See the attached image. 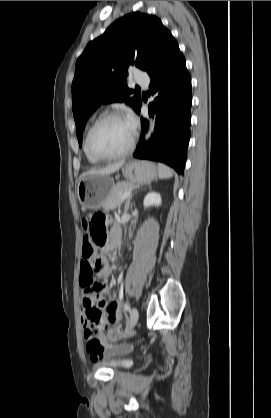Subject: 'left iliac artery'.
<instances>
[{
    "mask_svg": "<svg viewBox=\"0 0 271 418\" xmlns=\"http://www.w3.org/2000/svg\"><path fill=\"white\" fill-rule=\"evenodd\" d=\"M124 309L126 310V311H130V305H129V303H124Z\"/></svg>",
    "mask_w": 271,
    "mask_h": 418,
    "instance_id": "1",
    "label": "left iliac artery"
}]
</instances>
